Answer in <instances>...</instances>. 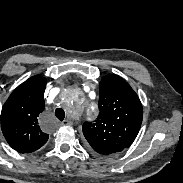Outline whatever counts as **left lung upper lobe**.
Instances as JSON below:
<instances>
[{
  "label": "left lung upper lobe",
  "mask_w": 183,
  "mask_h": 183,
  "mask_svg": "<svg viewBox=\"0 0 183 183\" xmlns=\"http://www.w3.org/2000/svg\"><path fill=\"white\" fill-rule=\"evenodd\" d=\"M99 90V115L94 122H85L82 130L96 152L110 155L133 143L142 123L143 110L135 91L120 76H105Z\"/></svg>",
  "instance_id": "left-lung-upper-lobe-1"
}]
</instances>
